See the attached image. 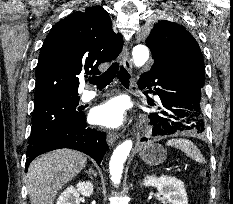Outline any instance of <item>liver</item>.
I'll return each instance as SVG.
<instances>
[{
    "label": "liver",
    "instance_id": "liver-1",
    "mask_svg": "<svg viewBox=\"0 0 233 204\" xmlns=\"http://www.w3.org/2000/svg\"><path fill=\"white\" fill-rule=\"evenodd\" d=\"M86 166V158L71 149H59L32 161L27 173L31 204H53L62 187Z\"/></svg>",
    "mask_w": 233,
    "mask_h": 204
}]
</instances>
